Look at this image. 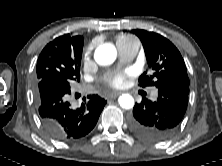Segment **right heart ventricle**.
I'll return each mask as SVG.
<instances>
[{"mask_svg": "<svg viewBox=\"0 0 222 166\" xmlns=\"http://www.w3.org/2000/svg\"><path fill=\"white\" fill-rule=\"evenodd\" d=\"M126 43H137V40L130 35L121 34L117 37V46Z\"/></svg>", "mask_w": 222, "mask_h": 166, "instance_id": "1", "label": "right heart ventricle"}]
</instances>
